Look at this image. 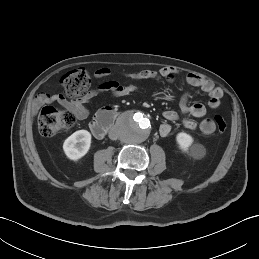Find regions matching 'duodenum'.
I'll use <instances>...</instances> for the list:
<instances>
[{"label": "duodenum", "mask_w": 259, "mask_h": 259, "mask_svg": "<svg viewBox=\"0 0 259 259\" xmlns=\"http://www.w3.org/2000/svg\"><path fill=\"white\" fill-rule=\"evenodd\" d=\"M116 116V111L110 108L99 111L90 124L92 134L96 138L103 137L114 124Z\"/></svg>", "instance_id": "obj_1"}]
</instances>
